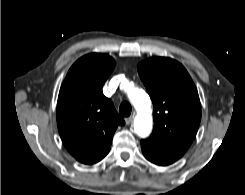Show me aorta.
<instances>
[{"label": "aorta", "instance_id": "aorta-1", "mask_svg": "<svg viewBox=\"0 0 245 195\" xmlns=\"http://www.w3.org/2000/svg\"><path fill=\"white\" fill-rule=\"evenodd\" d=\"M128 97L137 111L134 131L138 136L145 138L151 133L153 125L150 98L138 88L128 89Z\"/></svg>", "mask_w": 245, "mask_h": 195}]
</instances>
